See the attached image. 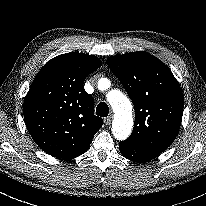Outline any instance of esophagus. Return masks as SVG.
I'll return each instance as SVG.
<instances>
[{"label": "esophagus", "mask_w": 206, "mask_h": 206, "mask_svg": "<svg viewBox=\"0 0 206 206\" xmlns=\"http://www.w3.org/2000/svg\"><path fill=\"white\" fill-rule=\"evenodd\" d=\"M104 123L106 125H110L112 123V116H108V117L104 118Z\"/></svg>", "instance_id": "34e87169"}]
</instances>
